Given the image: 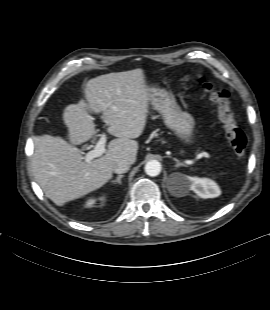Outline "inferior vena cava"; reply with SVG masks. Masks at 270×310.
<instances>
[{
  "mask_svg": "<svg viewBox=\"0 0 270 310\" xmlns=\"http://www.w3.org/2000/svg\"><path fill=\"white\" fill-rule=\"evenodd\" d=\"M130 163L127 160H118L113 166L112 170L113 172L117 174L125 173L130 168Z\"/></svg>",
  "mask_w": 270,
  "mask_h": 310,
  "instance_id": "602c4592",
  "label": "inferior vena cava"
}]
</instances>
